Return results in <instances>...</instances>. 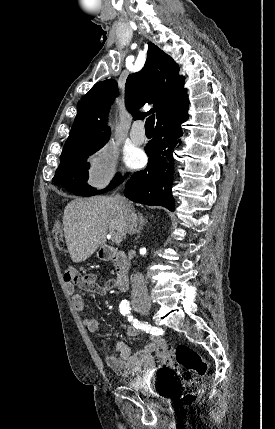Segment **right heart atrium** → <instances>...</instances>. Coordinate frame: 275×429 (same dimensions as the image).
<instances>
[{"instance_id":"1","label":"right heart atrium","mask_w":275,"mask_h":429,"mask_svg":"<svg viewBox=\"0 0 275 429\" xmlns=\"http://www.w3.org/2000/svg\"><path fill=\"white\" fill-rule=\"evenodd\" d=\"M86 168L88 183L103 188L117 178L118 154L112 147L105 145L88 156Z\"/></svg>"}]
</instances>
